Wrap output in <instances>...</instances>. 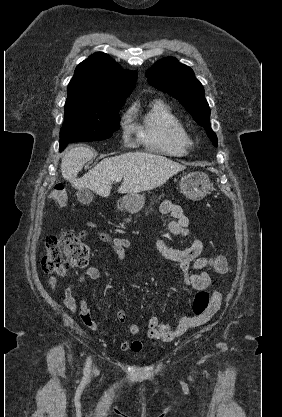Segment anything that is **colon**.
Listing matches in <instances>:
<instances>
[{
  "mask_svg": "<svg viewBox=\"0 0 282 417\" xmlns=\"http://www.w3.org/2000/svg\"><path fill=\"white\" fill-rule=\"evenodd\" d=\"M49 196L54 206L60 208L67 205V193L65 187L56 184L50 189ZM47 253L42 259L44 272L65 275L70 270L87 265L89 249L87 245L74 237L70 232L64 231L58 235H52L45 240ZM214 271L223 273L228 268V260L225 255H218L211 263ZM211 293L209 290H201L194 298L192 311L195 316H201L211 306Z\"/></svg>",
  "mask_w": 282,
  "mask_h": 417,
  "instance_id": "1",
  "label": "colon"
}]
</instances>
